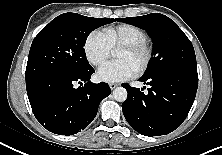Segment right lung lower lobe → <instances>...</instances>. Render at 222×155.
<instances>
[{
	"mask_svg": "<svg viewBox=\"0 0 222 155\" xmlns=\"http://www.w3.org/2000/svg\"><path fill=\"white\" fill-rule=\"evenodd\" d=\"M94 72L90 67L77 75L49 78L27 89L40 124L50 132L66 136L86 128L96 117L100 101L111 93L107 83L90 81Z\"/></svg>",
	"mask_w": 222,
	"mask_h": 155,
	"instance_id": "1",
	"label": "right lung lower lobe"
}]
</instances>
